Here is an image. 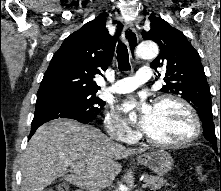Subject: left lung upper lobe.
<instances>
[{
  "label": "left lung upper lobe",
  "mask_w": 221,
  "mask_h": 191,
  "mask_svg": "<svg viewBox=\"0 0 221 191\" xmlns=\"http://www.w3.org/2000/svg\"><path fill=\"white\" fill-rule=\"evenodd\" d=\"M149 19L150 31L143 32L142 36L159 45L160 53L150 66L165 69L166 84L161 91L180 95L193 105L201 118L204 137L217 151L219 142L215 135L211 94L197 50L181 31L162 18L151 15Z\"/></svg>",
  "instance_id": "obj_1"
}]
</instances>
